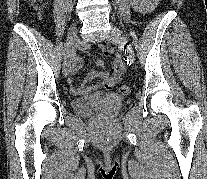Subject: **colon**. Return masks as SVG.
I'll return each mask as SVG.
<instances>
[{
    "label": "colon",
    "mask_w": 207,
    "mask_h": 179,
    "mask_svg": "<svg viewBox=\"0 0 207 179\" xmlns=\"http://www.w3.org/2000/svg\"><path fill=\"white\" fill-rule=\"evenodd\" d=\"M30 4L34 10V12L38 15L41 16L44 12V9L47 4V0H29ZM131 91L130 87L128 85H122L120 87V92L124 95L129 94Z\"/></svg>",
    "instance_id": "colon-1"
}]
</instances>
